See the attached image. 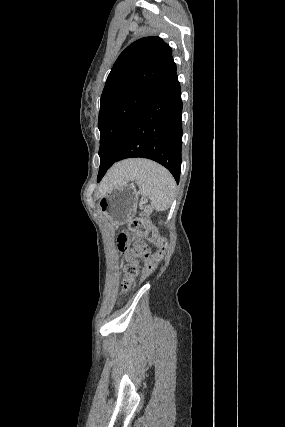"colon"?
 Returning <instances> with one entry per match:
<instances>
[{
    "label": "colon",
    "instance_id": "1",
    "mask_svg": "<svg viewBox=\"0 0 285 427\" xmlns=\"http://www.w3.org/2000/svg\"><path fill=\"white\" fill-rule=\"evenodd\" d=\"M128 231L132 233L135 240L131 246V253L136 256H144L143 276L149 275L163 261L168 249L166 240L161 237L157 230L150 225L146 218L132 219L128 224ZM148 245H153L156 251L148 254ZM126 238L124 236L118 239V248L120 251L126 250ZM139 273V266L136 261L129 262L125 267V278L122 282V292H126L133 279Z\"/></svg>",
    "mask_w": 285,
    "mask_h": 427
}]
</instances>
